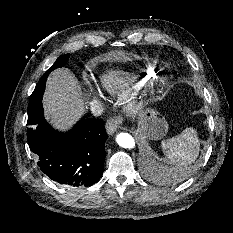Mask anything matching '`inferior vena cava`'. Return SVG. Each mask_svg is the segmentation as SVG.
Segmentation results:
<instances>
[{
	"mask_svg": "<svg viewBox=\"0 0 233 233\" xmlns=\"http://www.w3.org/2000/svg\"><path fill=\"white\" fill-rule=\"evenodd\" d=\"M90 109L92 113L96 116V115L102 114L104 107H103V104L99 100H93L90 103Z\"/></svg>",
	"mask_w": 233,
	"mask_h": 233,
	"instance_id": "inferior-vena-cava-1",
	"label": "inferior vena cava"
}]
</instances>
